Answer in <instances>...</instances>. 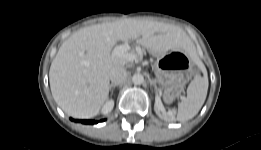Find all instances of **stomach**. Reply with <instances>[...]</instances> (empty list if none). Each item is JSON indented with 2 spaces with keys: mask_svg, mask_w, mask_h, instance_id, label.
<instances>
[{
  "mask_svg": "<svg viewBox=\"0 0 261 150\" xmlns=\"http://www.w3.org/2000/svg\"><path fill=\"white\" fill-rule=\"evenodd\" d=\"M192 63L183 51L162 53L154 64L156 82L165 90H177L189 79Z\"/></svg>",
  "mask_w": 261,
  "mask_h": 150,
  "instance_id": "stomach-1",
  "label": "stomach"
}]
</instances>
